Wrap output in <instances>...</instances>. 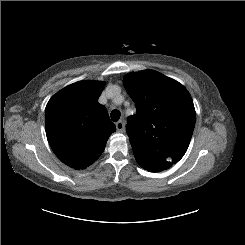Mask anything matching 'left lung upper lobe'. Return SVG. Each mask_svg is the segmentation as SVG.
<instances>
[{
	"label": "left lung upper lobe",
	"instance_id": "5c2ea615",
	"mask_svg": "<svg viewBox=\"0 0 245 245\" xmlns=\"http://www.w3.org/2000/svg\"><path fill=\"white\" fill-rule=\"evenodd\" d=\"M123 83L136 105L126 127L136 161L149 172L170 168L184 156L192 137L196 114L191 95L154 70L128 73Z\"/></svg>",
	"mask_w": 245,
	"mask_h": 245
}]
</instances>
